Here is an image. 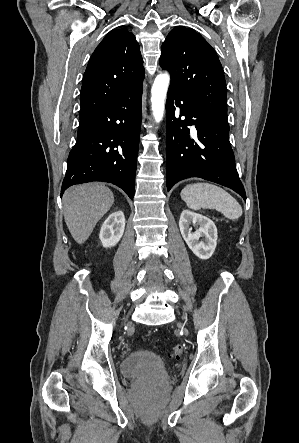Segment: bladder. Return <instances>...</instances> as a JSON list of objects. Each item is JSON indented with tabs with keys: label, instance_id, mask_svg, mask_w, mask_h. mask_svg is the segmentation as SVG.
<instances>
[{
	"label": "bladder",
	"instance_id": "bladder-1",
	"mask_svg": "<svg viewBox=\"0 0 299 443\" xmlns=\"http://www.w3.org/2000/svg\"><path fill=\"white\" fill-rule=\"evenodd\" d=\"M124 376L162 382L168 378L167 369L158 355L149 350H135L125 356L120 365Z\"/></svg>",
	"mask_w": 299,
	"mask_h": 443
}]
</instances>
